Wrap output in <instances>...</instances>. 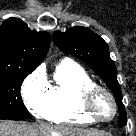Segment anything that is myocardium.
Here are the masks:
<instances>
[{"label": "myocardium", "instance_id": "f54148a6", "mask_svg": "<svg viewBox=\"0 0 136 136\" xmlns=\"http://www.w3.org/2000/svg\"><path fill=\"white\" fill-rule=\"evenodd\" d=\"M100 94L106 95L112 103L113 113L108 118L101 117L95 109V102ZM81 105L84 112L96 122H109L115 118L118 112L117 101L112 92L99 85L91 86L82 93Z\"/></svg>", "mask_w": 136, "mask_h": 136}]
</instances>
